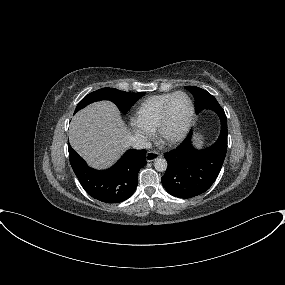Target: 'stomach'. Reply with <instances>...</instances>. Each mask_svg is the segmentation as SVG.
Instances as JSON below:
<instances>
[{"label": "stomach", "instance_id": "obj_1", "mask_svg": "<svg viewBox=\"0 0 285 285\" xmlns=\"http://www.w3.org/2000/svg\"><path fill=\"white\" fill-rule=\"evenodd\" d=\"M196 143L198 146L202 145V136L200 134L196 135Z\"/></svg>", "mask_w": 285, "mask_h": 285}]
</instances>
